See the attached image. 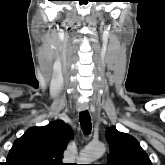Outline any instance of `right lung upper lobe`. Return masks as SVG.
Returning <instances> with one entry per match:
<instances>
[{"label": "right lung upper lobe", "mask_w": 165, "mask_h": 165, "mask_svg": "<svg viewBox=\"0 0 165 165\" xmlns=\"http://www.w3.org/2000/svg\"><path fill=\"white\" fill-rule=\"evenodd\" d=\"M70 138V127L60 120L30 128L14 142L6 165H64L62 156Z\"/></svg>", "instance_id": "cb5924a9"}]
</instances>
